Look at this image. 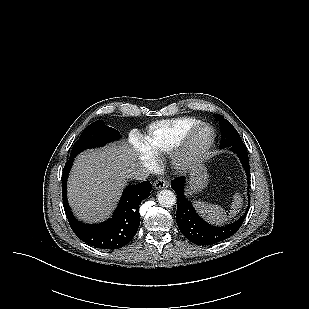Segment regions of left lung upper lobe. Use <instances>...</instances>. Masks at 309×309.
<instances>
[{"instance_id": "left-lung-upper-lobe-1", "label": "left lung upper lobe", "mask_w": 309, "mask_h": 309, "mask_svg": "<svg viewBox=\"0 0 309 309\" xmlns=\"http://www.w3.org/2000/svg\"><path fill=\"white\" fill-rule=\"evenodd\" d=\"M216 118L220 121V129L222 131L220 144L221 148L236 144H243L240 135L228 120L224 119L219 114H216Z\"/></svg>"}]
</instances>
